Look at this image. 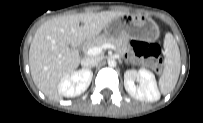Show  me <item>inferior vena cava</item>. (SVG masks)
<instances>
[{
  "instance_id": "inferior-vena-cava-1",
  "label": "inferior vena cava",
  "mask_w": 203,
  "mask_h": 123,
  "mask_svg": "<svg viewBox=\"0 0 203 123\" xmlns=\"http://www.w3.org/2000/svg\"><path fill=\"white\" fill-rule=\"evenodd\" d=\"M99 62V58H92V57H86L81 61V64L84 68L90 69L91 67H94Z\"/></svg>"
}]
</instances>
